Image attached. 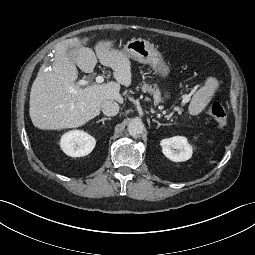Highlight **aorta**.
Segmentation results:
<instances>
[{
	"label": "aorta",
	"mask_w": 255,
	"mask_h": 255,
	"mask_svg": "<svg viewBox=\"0 0 255 255\" xmlns=\"http://www.w3.org/2000/svg\"><path fill=\"white\" fill-rule=\"evenodd\" d=\"M128 132L131 136L135 137L141 135L144 131V124L139 119H134L128 124Z\"/></svg>",
	"instance_id": "obj_1"
}]
</instances>
